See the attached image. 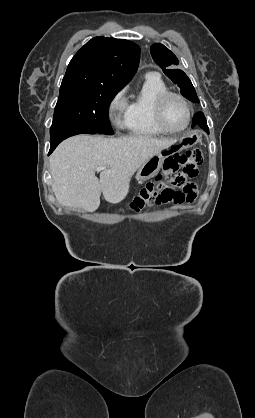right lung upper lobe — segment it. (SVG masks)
<instances>
[{
    "instance_id": "right-lung-upper-lobe-1",
    "label": "right lung upper lobe",
    "mask_w": 255,
    "mask_h": 418,
    "mask_svg": "<svg viewBox=\"0 0 255 418\" xmlns=\"http://www.w3.org/2000/svg\"><path fill=\"white\" fill-rule=\"evenodd\" d=\"M139 60L137 44L123 39L95 37L72 58L61 85L122 89L136 73Z\"/></svg>"
}]
</instances>
